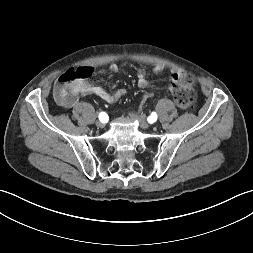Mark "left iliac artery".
Here are the masks:
<instances>
[{"label": "left iliac artery", "instance_id": "44dca946", "mask_svg": "<svg viewBox=\"0 0 253 253\" xmlns=\"http://www.w3.org/2000/svg\"><path fill=\"white\" fill-rule=\"evenodd\" d=\"M157 120V114L156 112H152L151 116L148 118L149 123H153Z\"/></svg>", "mask_w": 253, "mask_h": 253}]
</instances>
